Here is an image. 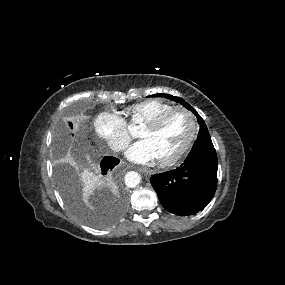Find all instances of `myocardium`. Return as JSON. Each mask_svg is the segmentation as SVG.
Segmentation results:
<instances>
[{"label": "myocardium", "mask_w": 285, "mask_h": 285, "mask_svg": "<svg viewBox=\"0 0 285 285\" xmlns=\"http://www.w3.org/2000/svg\"><path fill=\"white\" fill-rule=\"evenodd\" d=\"M179 112L183 113L189 120L190 128H191L190 134L187 140L185 141V143L176 153H174L173 155L169 157L158 159L159 164L165 167L175 165L176 163L180 162L190 152L199 133V124L197 122V119L195 115L187 108L182 107V106H173L169 108L168 110L162 112L155 118L145 122V126H149L150 128H153V129H158L161 126H163L165 122L172 115L179 113Z\"/></svg>", "instance_id": "1"}]
</instances>
